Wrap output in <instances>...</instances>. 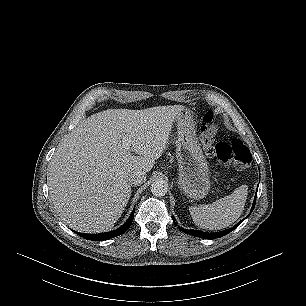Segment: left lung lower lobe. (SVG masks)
<instances>
[{
  "instance_id": "1",
  "label": "left lung lower lobe",
  "mask_w": 306,
  "mask_h": 306,
  "mask_svg": "<svg viewBox=\"0 0 306 306\" xmlns=\"http://www.w3.org/2000/svg\"><path fill=\"white\" fill-rule=\"evenodd\" d=\"M257 191H258V188H257ZM256 196H257V193L255 194V198H254V202H253V205H252V209H251V212L253 211L254 209V206H255V203H256ZM251 212L249 213V215L251 214ZM248 215V216H249ZM247 216V217H248ZM174 222H175V219H173ZM244 220V219H243ZM243 220H241L240 222H238L235 226H233L232 228L230 229H226V230H223L221 232H215V233H206V232H202V231H198V230H186V229H183L181 227H178L180 230H182L183 232L187 233V234H190V235H193V236H196V237H200V238H205V239H215V238H220L222 236H225L227 235L228 233H230L231 231H233L235 228H237L242 222ZM176 224V222H175ZM177 225V224H176Z\"/></svg>"
}]
</instances>
